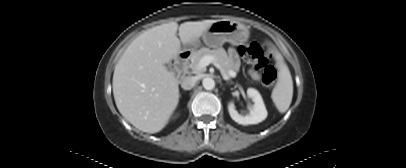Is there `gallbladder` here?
<instances>
[{
  "label": "gallbladder",
  "mask_w": 406,
  "mask_h": 168,
  "mask_svg": "<svg viewBox=\"0 0 406 168\" xmlns=\"http://www.w3.org/2000/svg\"><path fill=\"white\" fill-rule=\"evenodd\" d=\"M165 66H166V68H167L169 71H172V70H173V67H172V64H171V63H167V64H165Z\"/></svg>",
  "instance_id": "gallbladder-1"
}]
</instances>
